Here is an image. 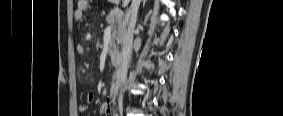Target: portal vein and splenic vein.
I'll use <instances>...</instances> for the list:
<instances>
[{
	"instance_id": "portal-vein-and-splenic-vein-1",
	"label": "portal vein and splenic vein",
	"mask_w": 283,
	"mask_h": 116,
	"mask_svg": "<svg viewBox=\"0 0 283 116\" xmlns=\"http://www.w3.org/2000/svg\"><path fill=\"white\" fill-rule=\"evenodd\" d=\"M127 2H128V0H125V1H124V4H126Z\"/></svg>"
}]
</instances>
